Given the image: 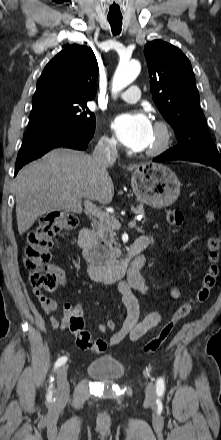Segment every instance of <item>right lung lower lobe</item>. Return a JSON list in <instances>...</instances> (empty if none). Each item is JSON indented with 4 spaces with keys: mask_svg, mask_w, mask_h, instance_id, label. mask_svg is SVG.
I'll use <instances>...</instances> for the list:
<instances>
[{
    "mask_svg": "<svg viewBox=\"0 0 221 440\" xmlns=\"http://www.w3.org/2000/svg\"><path fill=\"white\" fill-rule=\"evenodd\" d=\"M93 135L50 128L27 131L24 134L23 142L17 155L15 175L25 164L40 158L53 148L86 149Z\"/></svg>",
    "mask_w": 221,
    "mask_h": 440,
    "instance_id": "obj_1",
    "label": "right lung lower lobe"
}]
</instances>
